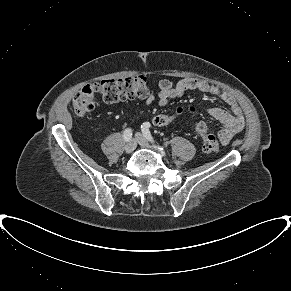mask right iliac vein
I'll list each match as a JSON object with an SVG mask.
<instances>
[{
    "label": "right iliac vein",
    "mask_w": 291,
    "mask_h": 291,
    "mask_svg": "<svg viewBox=\"0 0 291 291\" xmlns=\"http://www.w3.org/2000/svg\"><path fill=\"white\" fill-rule=\"evenodd\" d=\"M136 140L135 139H131L129 140L126 145H125V152L126 153H131L135 150L136 148Z\"/></svg>",
    "instance_id": "1"
}]
</instances>
